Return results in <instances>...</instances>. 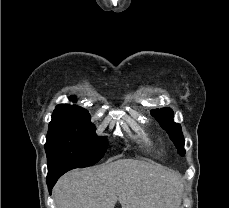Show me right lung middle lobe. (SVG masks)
<instances>
[{"label":"right lung middle lobe","instance_id":"obj_1","mask_svg":"<svg viewBox=\"0 0 229 208\" xmlns=\"http://www.w3.org/2000/svg\"><path fill=\"white\" fill-rule=\"evenodd\" d=\"M107 145L106 137L96 136L89 117L54 111L45 144L48 173L94 165Z\"/></svg>","mask_w":229,"mask_h":208}]
</instances>
